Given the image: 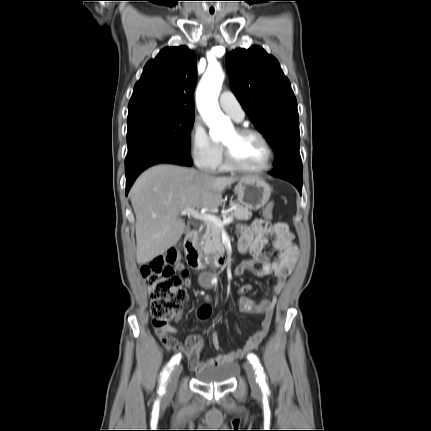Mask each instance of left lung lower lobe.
Instances as JSON below:
<instances>
[{"label": "left lung lower lobe", "mask_w": 431, "mask_h": 431, "mask_svg": "<svg viewBox=\"0 0 431 431\" xmlns=\"http://www.w3.org/2000/svg\"><path fill=\"white\" fill-rule=\"evenodd\" d=\"M270 174L274 177H279L285 179L296 186L299 193L302 194V182L303 177L302 173H297L293 171H284V172H270Z\"/></svg>", "instance_id": "1"}]
</instances>
